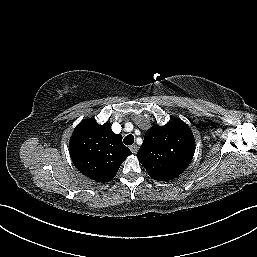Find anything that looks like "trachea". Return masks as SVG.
<instances>
[{"instance_id": "3493384b", "label": "trachea", "mask_w": 257, "mask_h": 257, "mask_svg": "<svg viewBox=\"0 0 257 257\" xmlns=\"http://www.w3.org/2000/svg\"><path fill=\"white\" fill-rule=\"evenodd\" d=\"M125 145H132L134 143V136L133 135H127L123 140Z\"/></svg>"}]
</instances>
